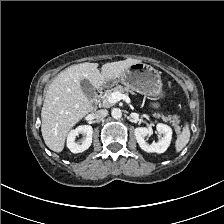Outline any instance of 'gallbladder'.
<instances>
[{"label":"gallbladder","mask_w":224,"mask_h":224,"mask_svg":"<svg viewBox=\"0 0 224 224\" xmlns=\"http://www.w3.org/2000/svg\"><path fill=\"white\" fill-rule=\"evenodd\" d=\"M80 86L86 97L88 99H92L95 94V91L90 82L87 79H83L80 81Z\"/></svg>","instance_id":"gallbladder-1"}]
</instances>
